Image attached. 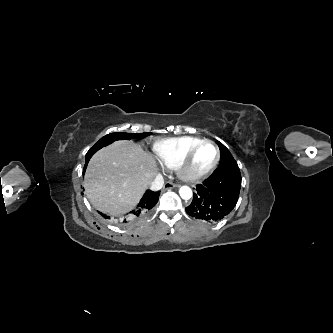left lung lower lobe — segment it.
Segmentation results:
<instances>
[{
	"instance_id": "obj_1",
	"label": "left lung lower lobe",
	"mask_w": 333,
	"mask_h": 333,
	"mask_svg": "<svg viewBox=\"0 0 333 333\" xmlns=\"http://www.w3.org/2000/svg\"><path fill=\"white\" fill-rule=\"evenodd\" d=\"M240 188L241 174L237 164L216 169L208 179L196 186L193 200L185 210L195 219L217 222L234 209Z\"/></svg>"
}]
</instances>
